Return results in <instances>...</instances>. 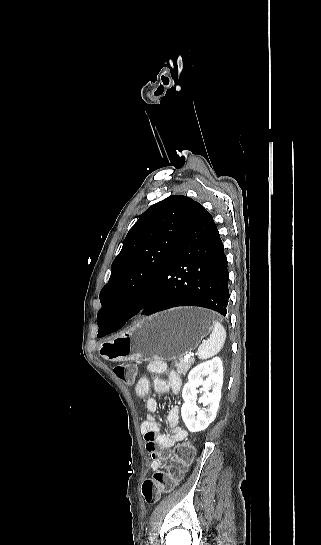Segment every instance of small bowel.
<instances>
[{
	"instance_id": "small-bowel-1",
	"label": "small bowel",
	"mask_w": 321,
	"mask_h": 545,
	"mask_svg": "<svg viewBox=\"0 0 321 545\" xmlns=\"http://www.w3.org/2000/svg\"><path fill=\"white\" fill-rule=\"evenodd\" d=\"M146 373L164 375L156 377L153 382L154 390L157 393L172 392L177 394L182 386L180 376L173 370H169L163 361L155 360L145 367ZM150 382L146 374L141 376L136 383L135 391L137 396L144 402L147 410L146 418L142 422L140 430L145 441V448L151 457V470L158 471L164 462L170 458V449L178 442L187 438V431L180 425V409L173 406L167 415L168 431L163 433L153 413L158 409L157 400L149 396Z\"/></svg>"
}]
</instances>
